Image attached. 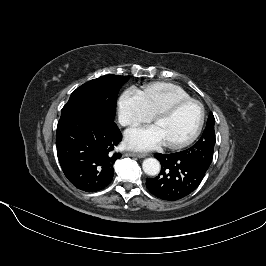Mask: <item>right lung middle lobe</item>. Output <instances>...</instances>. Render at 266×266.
<instances>
[{
	"mask_svg": "<svg viewBox=\"0 0 266 266\" xmlns=\"http://www.w3.org/2000/svg\"><path fill=\"white\" fill-rule=\"evenodd\" d=\"M129 76L105 75L86 82L72 92L61 117L77 115L114 121L117 94Z\"/></svg>",
	"mask_w": 266,
	"mask_h": 266,
	"instance_id": "obj_1",
	"label": "right lung middle lobe"
}]
</instances>
